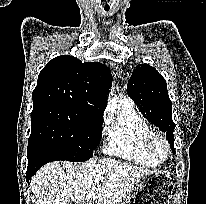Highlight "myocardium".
Masks as SVG:
<instances>
[{
  "instance_id": "myocardium-1",
  "label": "myocardium",
  "mask_w": 206,
  "mask_h": 204,
  "mask_svg": "<svg viewBox=\"0 0 206 204\" xmlns=\"http://www.w3.org/2000/svg\"><path fill=\"white\" fill-rule=\"evenodd\" d=\"M156 143H161L165 148V155L160 157L155 152ZM145 150L150 158H152L157 163L165 162L169 159L171 154V149L168 141L162 135L152 132L150 133L144 142Z\"/></svg>"
}]
</instances>
